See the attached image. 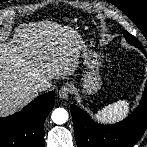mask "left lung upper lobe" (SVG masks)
<instances>
[{
	"label": "left lung upper lobe",
	"mask_w": 147,
	"mask_h": 147,
	"mask_svg": "<svg viewBox=\"0 0 147 147\" xmlns=\"http://www.w3.org/2000/svg\"><path fill=\"white\" fill-rule=\"evenodd\" d=\"M127 40L131 45H135L139 49L142 48V45L138 41H136L134 38L129 37Z\"/></svg>",
	"instance_id": "1"
}]
</instances>
